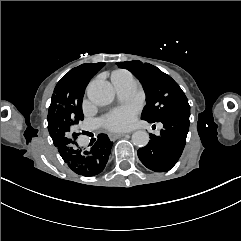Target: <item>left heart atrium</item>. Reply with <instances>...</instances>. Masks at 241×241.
<instances>
[{"instance_id":"obj_1","label":"left heart atrium","mask_w":241,"mask_h":241,"mask_svg":"<svg viewBox=\"0 0 241 241\" xmlns=\"http://www.w3.org/2000/svg\"><path fill=\"white\" fill-rule=\"evenodd\" d=\"M135 123V114L133 110L124 109L118 110L115 117H108L103 119V124L106 129L115 132H123L131 129Z\"/></svg>"}]
</instances>
